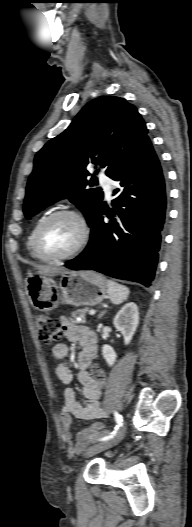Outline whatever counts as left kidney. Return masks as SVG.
Here are the masks:
<instances>
[{"label": "left kidney", "instance_id": "obj_1", "mask_svg": "<svg viewBox=\"0 0 192 527\" xmlns=\"http://www.w3.org/2000/svg\"><path fill=\"white\" fill-rule=\"evenodd\" d=\"M115 328L120 331L124 337L125 345H128L139 324V311L135 303H127L117 313L113 320ZM102 355L109 366H113L117 355L110 345H103Z\"/></svg>", "mask_w": 192, "mask_h": 527}]
</instances>
